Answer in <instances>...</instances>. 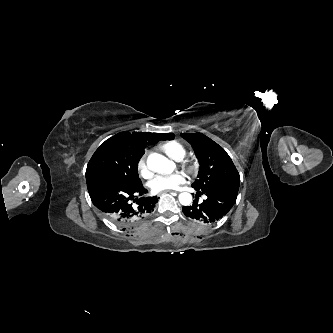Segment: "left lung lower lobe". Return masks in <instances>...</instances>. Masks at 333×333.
<instances>
[{
    "label": "left lung lower lobe",
    "instance_id": "obj_1",
    "mask_svg": "<svg viewBox=\"0 0 333 333\" xmlns=\"http://www.w3.org/2000/svg\"><path fill=\"white\" fill-rule=\"evenodd\" d=\"M198 193L206 194L207 199L202 203L198 200L193 202V205L183 207V213L186 217L191 218L197 222L214 223L224 217L233 207L236 202L238 189L227 190H213ZM228 199L226 203L219 204L218 200Z\"/></svg>",
    "mask_w": 333,
    "mask_h": 333
}]
</instances>
